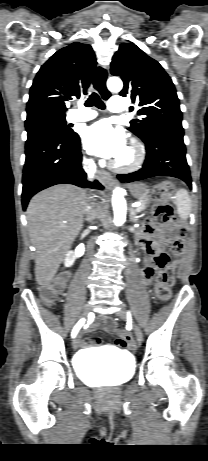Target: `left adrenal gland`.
I'll use <instances>...</instances> for the list:
<instances>
[{
	"label": "left adrenal gland",
	"mask_w": 208,
	"mask_h": 461,
	"mask_svg": "<svg viewBox=\"0 0 208 461\" xmlns=\"http://www.w3.org/2000/svg\"><path fill=\"white\" fill-rule=\"evenodd\" d=\"M130 219L133 221V222H137L138 220V216H136V212L133 208H130Z\"/></svg>",
	"instance_id": "a2214340"
}]
</instances>
